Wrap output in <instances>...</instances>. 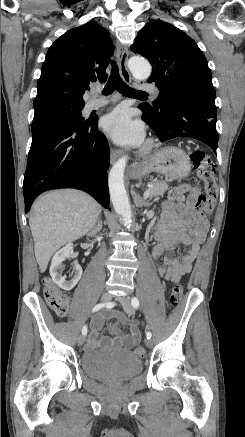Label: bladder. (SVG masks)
I'll use <instances>...</instances> for the list:
<instances>
[{
  "mask_svg": "<svg viewBox=\"0 0 245 437\" xmlns=\"http://www.w3.org/2000/svg\"><path fill=\"white\" fill-rule=\"evenodd\" d=\"M81 367L91 378L104 382H123L141 371L142 361L129 350L95 349L83 353Z\"/></svg>",
  "mask_w": 245,
  "mask_h": 437,
  "instance_id": "1",
  "label": "bladder"
}]
</instances>
